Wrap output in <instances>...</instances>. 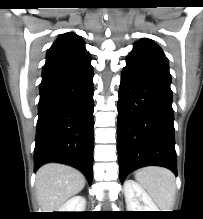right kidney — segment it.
Masks as SVG:
<instances>
[{
    "instance_id": "right-kidney-1",
    "label": "right kidney",
    "mask_w": 203,
    "mask_h": 219,
    "mask_svg": "<svg viewBox=\"0 0 203 219\" xmlns=\"http://www.w3.org/2000/svg\"><path fill=\"white\" fill-rule=\"evenodd\" d=\"M85 207V198L83 196H74L59 209V212H84Z\"/></svg>"
}]
</instances>
